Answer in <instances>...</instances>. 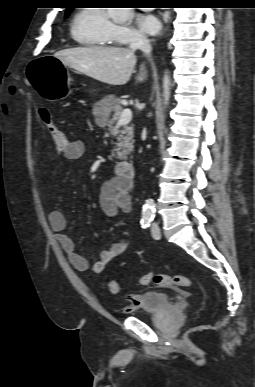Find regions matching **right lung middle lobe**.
Masks as SVG:
<instances>
[{"mask_svg": "<svg viewBox=\"0 0 255 387\" xmlns=\"http://www.w3.org/2000/svg\"><path fill=\"white\" fill-rule=\"evenodd\" d=\"M71 11H72V9L66 10V15H68Z\"/></svg>", "mask_w": 255, "mask_h": 387, "instance_id": "right-lung-middle-lobe-1", "label": "right lung middle lobe"}]
</instances>
